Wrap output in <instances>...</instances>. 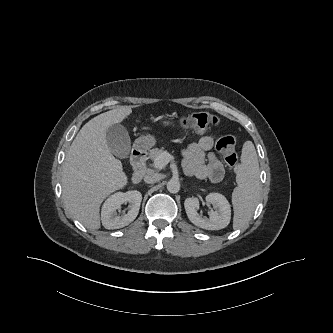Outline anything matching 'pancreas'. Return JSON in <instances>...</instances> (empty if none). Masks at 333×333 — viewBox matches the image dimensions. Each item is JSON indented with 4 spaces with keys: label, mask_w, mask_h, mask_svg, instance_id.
<instances>
[{
    "label": "pancreas",
    "mask_w": 333,
    "mask_h": 333,
    "mask_svg": "<svg viewBox=\"0 0 333 333\" xmlns=\"http://www.w3.org/2000/svg\"><path fill=\"white\" fill-rule=\"evenodd\" d=\"M163 152H166L164 151L163 149H159V148H154V149H151L149 151V158L152 159L153 161H155V159L161 155Z\"/></svg>",
    "instance_id": "cf45deb5"
}]
</instances>
